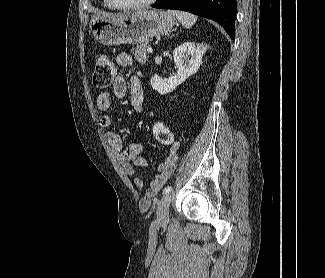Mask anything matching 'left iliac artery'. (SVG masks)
Wrapping results in <instances>:
<instances>
[{"instance_id":"obj_1","label":"left iliac artery","mask_w":325,"mask_h":278,"mask_svg":"<svg viewBox=\"0 0 325 278\" xmlns=\"http://www.w3.org/2000/svg\"><path fill=\"white\" fill-rule=\"evenodd\" d=\"M171 191H172V187L171 186H167V187L164 188L163 193L166 194V193H169Z\"/></svg>"}]
</instances>
